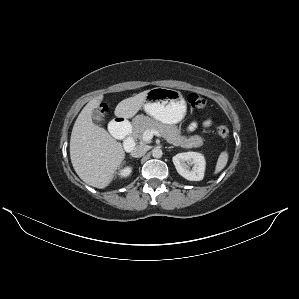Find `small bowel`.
<instances>
[{"mask_svg":"<svg viewBox=\"0 0 299 299\" xmlns=\"http://www.w3.org/2000/svg\"><path fill=\"white\" fill-rule=\"evenodd\" d=\"M210 124H211V121H210L209 119L206 120V121L204 122V125H205V126H210ZM195 127H196V125L193 124V125H191V126L189 127V129H190V130H193Z\"/></svg>","mask_w":299,"mask_h":299,"instance_id":"obj_1","label":"small bowel"}]
</instances>
